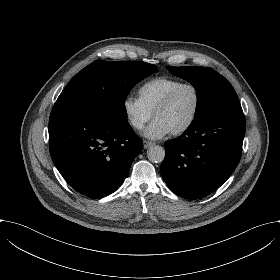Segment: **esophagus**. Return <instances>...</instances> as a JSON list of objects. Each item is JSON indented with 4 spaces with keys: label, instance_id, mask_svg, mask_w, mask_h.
<instances>
[{
    "label": "esophagus",
    "instance_id": "1",
    "mask_svg": "<svg viewBox=\"0 0 280 280\" xmlns=\"http://www.w3.org/2000/svg\"><path fill=\"white\" fill-rule=\"evenodd\" d=\"M154 143L151 142V141H147V140H144L143 141V146H144V149H148L150 146H152Z\"/></svg>",
    "mask_w": 280,
    "mask_h": 280
}]
</instances>
